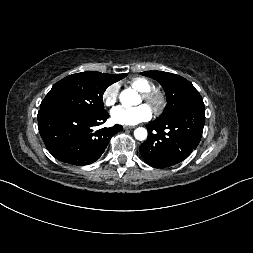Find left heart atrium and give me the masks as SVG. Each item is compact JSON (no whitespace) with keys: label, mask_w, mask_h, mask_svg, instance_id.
I'll return each mask as SVG.
<instances>
[{"label":"left heart atrium","mask_w":253,"mask_h":253,"mask_svg":"<svg viewBox=\"0 0 253 253\" xmlns=\"http://www.w3.org/2000/svg\"><path fill=\"white\" fill-rule=\"evenodd\" d=\"M152 117V109L147 104L136 107H117L111 112L113 122L121 125H136L149 120Z\"/></svg>","instance_id":"left-heart-atrium-1"}]
</instances>
